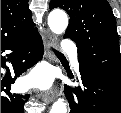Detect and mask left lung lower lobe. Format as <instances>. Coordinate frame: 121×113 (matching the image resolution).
Wrapping results in <instances>:
<instances>
[{
  "label": "left lung lower lobe",
  "instance_id": "obj_1",
  "mask_svg": "<svg viewBox=\"0 0 121 113\" xmlns=\"http://www.w3.org/2000/svg\"><path fill=\"white\" fill-rule=\"evenodd\" d=\"M79 71L84 87H66L70 113H121V87L88 66Z\"/></svg>",
  "mask_w": 121,
  "mask_h": 113
}]
</instances>
